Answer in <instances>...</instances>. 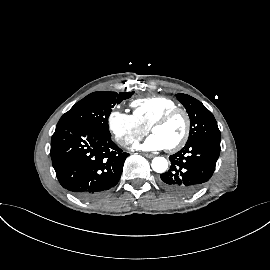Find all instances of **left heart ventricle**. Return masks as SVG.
<instances>
[{
    "label": "left heart ventricle",
    "instance_id": "1",
    "mask_svg": "<svg viewBox=\"0 0 270 270\" xmlns=\"http://www.w3.org/2000/svg\"><path fill=\"white\" fill-rule=\"evenodd\" d=\"M185 130V119L182 115H176L168 122L153 129L152 133L159 136L166 147L174 145L180 140Z\"/></svg>",
    "mask_w": 270,
    "mask_h": 270
}]
</instances>
